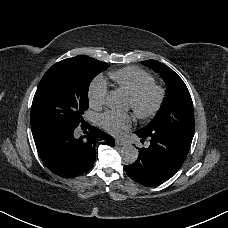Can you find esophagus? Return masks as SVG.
<instances>
[{"label":"esophagus","instance_id":"1","mask_svg":"<svg viewBox=\"0 0 228 228\" xmlns=\"http://www.w3.org/2000/svg\"><path fill=\"white\" fill-rule=\"evenodd\" d=\"M115 143H116L117 146H125V145H127V142L122 141L120 139H116Z\"/></svg>","mask_w":228,"mask_h":228}]
</instances>
